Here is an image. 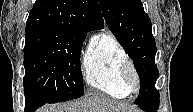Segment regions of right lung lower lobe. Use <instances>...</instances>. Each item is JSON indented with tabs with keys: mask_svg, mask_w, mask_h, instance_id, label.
I'll use <instances>...</instances> for the list:
<instances>
[{
	"mask_svg": "<svg viewBox=\"0 0 193 112\" xmlns=\"http://www.w3.org/2000/svg\"><path fill=\"white\" fill-rule=\"evenodd\" d=\"M25 104H26L25 112H34L41 106L40 104H28L26 102Z\"/></svg>",
	"mask_w": 193,
	"mask_h": 112,
	"instance_id": "right-lung-lower-lobe-1",
	"label": "right lung lower lobe"
}]
</instances>
